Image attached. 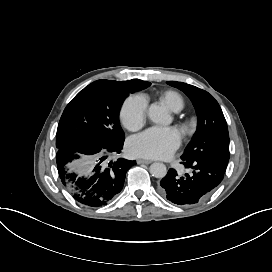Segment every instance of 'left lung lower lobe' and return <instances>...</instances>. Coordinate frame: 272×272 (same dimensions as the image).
I'll return each instance as SVG.
<instances>
[{
  "label": "left lung lower lobe",
  "instance_id": "obj_1",
  "mask_svg": "<svg viewBox=\"0 0 272 272\" xmlns=\"http://www.w3.org/2000/svg\"><path fill=\"white\" fill-rule=\"evenodd\" d=\"M187 168L194 169L193 175L177 177L174 169L160 181V193L172 203L181 206L197 204L216 188L224 177L227 165L208 159L184 160Z\"/></svg>",
  "mask_w": 272,
  "mask_h": 272
}]
</instances>
